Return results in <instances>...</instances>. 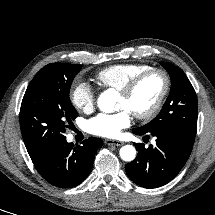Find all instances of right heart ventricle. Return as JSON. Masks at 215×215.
Returning a JSON list of instances; mask_svg holds the SVG:
<instances>
[{
	"instance_id": "1",
	"label": "right heart ventricle",
	"mask_w": 215,
	"mask_h": 215,
	"mask_svg": "<svg viewBox=\"0 0 215 215\" xmlns=\"http://www.w3.org/2000/svg\"><path fill=\"white\" fill-rule=\"evenodd\" d=\"M151 68L146 64L125 63L107 66L95 75L98 85L120 91L131 79Z\"/></svg>"
}]
</instances>
